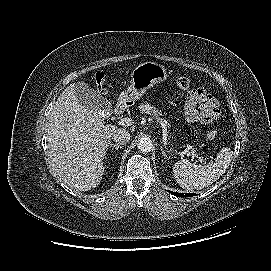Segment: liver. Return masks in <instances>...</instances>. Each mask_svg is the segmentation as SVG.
<instances>
[{"instance_id":"6515ba94","label":"liver","mask_w":271,"mask_h":271,"mask_svg":"<svg viewBox=\"0 0 271 271\" xmlns=\"http://www.w3.org/2000/svg\"><path fill=\"white\" fill-rule=\"evenodd\" d=\"M117 128L82 105L70 84L61 92L47 125L48 160L55 174L79 191L95 188L104 174L103 159Z\"/></svg>"}]
</instances>
